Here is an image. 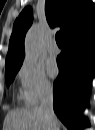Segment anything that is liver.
Listing matches in <instances>:
<instances>
[{"mask_svg":"<svg viewBox=\"0 0 95 130\" xmlns=\"http://www.w3.org/2000/svg\"><path fill=\"white\" fill-rule=\"evenodd\" d=\"M3 130H49L39 106L10 110L5 117ZM57 128H61L58 121Z\"/></svg>","mask_w":95,"mask_h":130,"instance_id":"liver-1","label":"liver"}]
</instances>
